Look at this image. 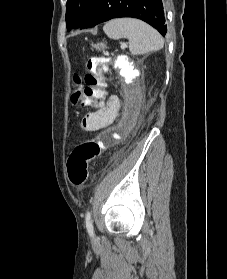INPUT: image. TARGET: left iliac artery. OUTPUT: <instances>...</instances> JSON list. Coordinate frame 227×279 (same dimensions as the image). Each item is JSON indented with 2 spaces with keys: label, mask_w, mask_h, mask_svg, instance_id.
Instances as JSON below:
<instances>
[{
  "label": "left iliac artery",
  "mask_w": 227,
  "mask_h": 279,
  "mask_svg": "<svg viewBox=\"0 0 227 279\" xmlns=\"http://www.w3.org/2000/svg\"><path fill=\"white\" fill-rule=\"evenodd\" d=\"M85 223H86V228L88 233L93 236V222H92V215H91V211H87L86 213V217H85Z\"/></svg>",
  "instance_id": "44dca946"
}]
</instances>
